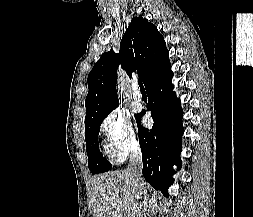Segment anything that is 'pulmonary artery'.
Listing matches in <instances>:
<instances>
[{"instance_id": "e3ab8cb5", "label": "pulmonary artery", "mask_w": 253, "mask_h": 217, "mask_svg": "<svg viewBox=\"0 0 253 217\" xmlns=\"http://www.w3.org/2000/svg\"><path fill=\"white\" fill-rule=\"evenodd\" d=\"M133 98L135 101H138V102L142 101L143 99L141 92L137 89L136 83L133 84Z\"/></svg>"}]
</instances>
